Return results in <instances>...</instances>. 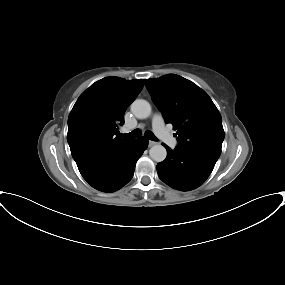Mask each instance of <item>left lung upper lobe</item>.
Here are the masks:
<instances>
[{
  "mask_svg": "<svg viewBox=\"0 0 285 285\" xmlns=\"http://www.w3.org/2000/svg\"><path fill=\"white\" fill-rule=\"evenodd\" d=\"M145 85L166 123L177 130L178 146L218 159L224 130L221 115L207 93L175 74L147 79Z\"/></svg>",
  "mask_w": 285,
  "mask_h": 285,
  "instance_id": "left-lung-upper-lobe-1",
  "label": "left lung upper lobe"
}]
</instances>
